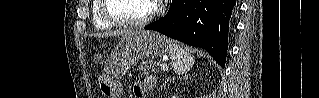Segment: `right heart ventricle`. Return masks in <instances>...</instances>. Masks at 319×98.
Listing matches in <instances>:
<instances>
[{
	"instance_id": "1",
	"label": "right heart ventricle",
	"mask_w": 319,
	"mask_h": 98,
	"mask_svg": "<svg viewBox=\"0 0 319 98\" xmlns=\"http://www.w3.org/2000/svg\"><path fill=\"white\" fill-rule=\"evenodd\" d=\"M102 0H94L91 6L92 25L95 30H107L112 27L101 15Z\"/></svg>"
}]
</instances>
